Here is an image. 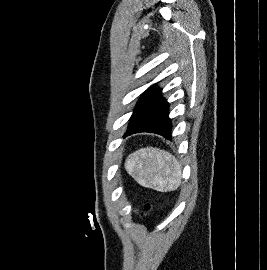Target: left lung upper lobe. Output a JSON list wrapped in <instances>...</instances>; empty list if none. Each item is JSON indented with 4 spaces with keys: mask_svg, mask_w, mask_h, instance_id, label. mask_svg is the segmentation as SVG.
I'll return each mask as SVG.
<instances>
[{
    "mask_svg": "<svg viewBox=\"0 0 267 270\" xmlns=\"http://www.w3.org/2000/svg\"><path fill=\"white\" fill-rule=\"evenodd\" d=\"M161 96V90L155 85L148 88L139 99L134 112L129 120L128 129L131 128L144 112ZM127 129V130H128Z\"/></svg>",
    "mask_w": 267,
    "mask_h": 270,
    "instance_id": "1",
    "label": "left lung upper lobe"
}]
</instances>
